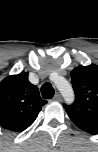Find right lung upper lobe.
Returning <instances> with one entry per match:
<instances>
[{
  "label": "right lung upper lobe",
  "instance_id": "cb5924a9",
  "mask_svg": "<svg viewBox=\"0 0 98 152\" xmlns=\"http://www.w3.org/2000/svg\"><path fill=\"white\" fill-rule=\"evenodd\" d=\"M46 103L29 82L27 72L8 76L0 82V125L21 132L35 121Z\"/></svg>",
  "mask_w": 98,
  "mask_h": 152
}]
</instances>
